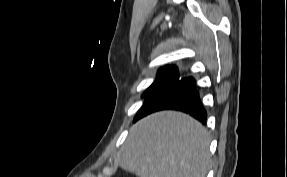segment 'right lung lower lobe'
Wrapping results in <instances>:
<instances>
[{"label": "right lung lower lobe", "mask_w": 287, "mask_h": 177, "mask_svg": "<svg viewBox=\"0 0 287 177\" xmlns=\"http://www.w3.org/2000/svg\"><path fill=\"white\" fill-rule=\"evenodd\" d=\"M143 97L145 102L134 121L165 109L188 113L202 123L207 120V113L196 91V82L192 77H183L178 70L170 72L155 82Z\"/></svg>", "instance_id": "right-lung-lower-lobe-1"}]
</instances>
